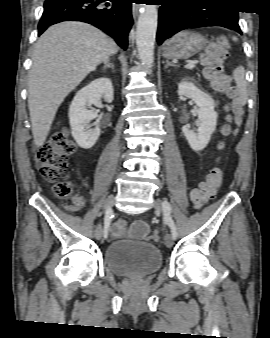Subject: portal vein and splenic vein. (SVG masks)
Segmentation results:
<instances>
[{
    "label": "portal vein and splenic vein",
    "instance_id": "1",
    "mask_svg": "<svg viewBox=\"0 0 270 338\" xmlns=\"http://www.w3.org/2000/svg\"><path fill=\"white\" fill-rule=\"evenodd\" d=\"M195 64H196L195 62H189L185 65V68L192 69L195 67Z\"/></svg>",
    "mask_w": 270,
    "mask_h": 338
}]
</instances>
